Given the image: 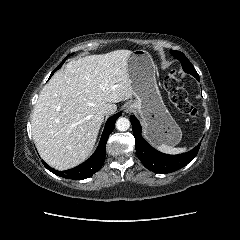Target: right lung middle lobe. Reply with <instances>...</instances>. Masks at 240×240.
I'll return each mask as SVG.
<instances>
[{
	"mask_svg": "<svg viewBox=\"0 0 240 240\" xmlns=\"http://www.w3.org/2000/svg\"><path fill=\"white\" fill-rule=\"evenodd\" d=\"M67 58V57H66ZM66 58L62 61V63L52 72V74L51 75H53V73L57 70V69H59L60 67H61V65L64 63V61L66 60Z\"/></svg>",
	"mask_w": 240,
	"mask_h": 240,
	"instance_id": "dd1d6c3e",
	"label": "right lung middle lobe"
}]
</instances>
